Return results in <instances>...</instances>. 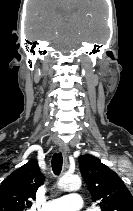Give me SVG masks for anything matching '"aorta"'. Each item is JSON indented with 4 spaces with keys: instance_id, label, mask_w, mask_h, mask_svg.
Segmentation results:
<instances>
[{
    "instance_id": "1",
    "label": "aorta",
    "mask_w": 133,
    "mask_h": 211,
    "mask_svg": "<svg viewBox=\"0 0 133 211\" xmlns=\"http://www.w3.org/2000/svg\"><path fill=\"white\" fill-rule=\"evenodd\" d=\"M57 184L64 191H77L81 187V179L76 175H65L59 179Z\"/></svg>"
}]
</instances>
